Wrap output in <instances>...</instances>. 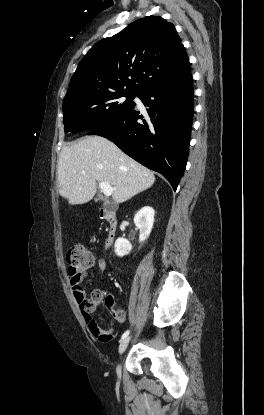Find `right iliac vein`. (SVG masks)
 Instances as JSON below:
<instances>
[{
	"instance_id": "1",
	"label": "right iliac vein",
	"mask_w": 264,
	"mask_h": 415,
	"mask_svg": "<svg viewBox=\"0 0 264 415\" xmlns=\"http://www.w3.org/2000/svg\"><path fill=\"white\" fill-rule=\"evenodd\" d=\"M129 341H130V337H126L125 339H123V340L120 342V345H119V355H122V354H123V352L125 351V349H126V348H127V346H128ZM116 371H117V374L120 376V373H121V364H120V360H119V361H118V363H117V366H116Z\"/></svg>"
}]
</instances>
